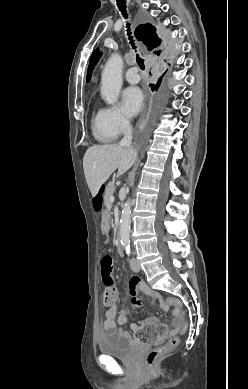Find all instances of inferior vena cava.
<instances>
[{
	"mask_svg": "<svg viewBox=\"0 0 248 389\" xmlns=\"http://www.w3.org/2000/svg\"><path fill=\"white\" fill-rule=\"evenodd\" d=\"M120 145H121V146H124V147H127V148H129V149H131L132 151L135 152V150H134L133 147H132V126H131L129 120H126V121H125V125H124V137H123V139L120 141Z\"/></svg>",
	"mask_w": 248,
	"mask_h": 389,
	"instance_id": "obj_1",
	"label": "inferior vena cava"
}]
</instances>
